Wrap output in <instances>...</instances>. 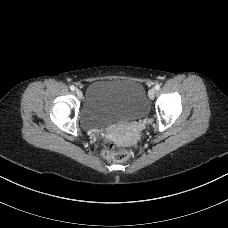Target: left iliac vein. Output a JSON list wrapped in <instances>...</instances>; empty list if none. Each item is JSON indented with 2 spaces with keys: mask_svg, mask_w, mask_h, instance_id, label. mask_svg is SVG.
<instances>
[{
  "mask_svg": "<svg viewBox=\"0 0 228 228\" xmlns=\"http://www.w3.org/2000/svg\"><path fill=\"white\" fill-rule=\"evenodd\" d=\"M155 94H156V91H155L154 88H152V89H150V90L148 91V96H149L150 99H154Z\"/></svg>",
  "mask_w": 228,
  "mask_h": 228,
  "instance_id": "4c4485c4",
  "label": "left iliac vein"
}]
</instances>
